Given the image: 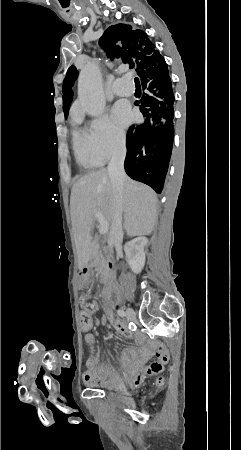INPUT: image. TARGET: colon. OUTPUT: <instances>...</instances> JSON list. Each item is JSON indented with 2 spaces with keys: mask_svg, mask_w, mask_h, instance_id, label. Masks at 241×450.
Segmentation results:
<instances>
[{
  "mask_svg": "<svg viewBox=\"0 0 241 450\" xmlns=\"http://www.w3.org/2000/svg\"><path fill=\"white\" fill-rule=\"evenodd\" d=\"M79 327L91 329L93 328V314L91 313H81L79 314ZM157 384L160 387L165 386V381L162 377H158Z\"/></svg>",
  "mask_w": 241,
  "mask_h": 450,
  "instance_id": "obj_1",
  "label": "colon"
}]
</instances>
